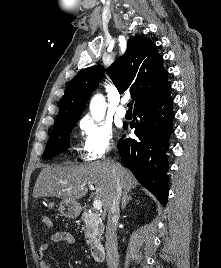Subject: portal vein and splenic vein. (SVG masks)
<instances>
[{
  "mask_svg": "<svg viewBox=\"0 0 221 268\" xmlns=\"http://www.w3.org/2000/svg\"><path fill=\"white\" fill-rule=\"evenodd\" d=\"M88 186H89V189H90V190H94V189H95L94 186H93L92 184H88ZM93 207H94L95 210H100V209H102V201H101L100 199H95V200L93 201Z\"/></svg>",
  "mask_w": 221,
  "mask_h": 268,
  "instance_id": "1",
  "label": "portal vein and splenic vein"
}]
</instances>
